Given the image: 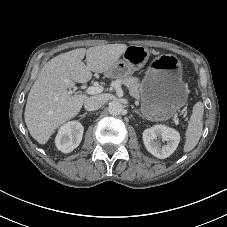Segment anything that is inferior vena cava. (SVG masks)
<instances>
[{"instance_id":"602c4592","label":"inferior vena cava","mask_w":227,"mask_h":227,"mask_svg":"<svg viewBox=\"0 0 227 227\" xmlns=\"http://www.w3.org/2000/svg\"><path fill=\"white\" fill-rule=\"evenodd\" d=\"M105 103V98L101 95L91 96L84 102V108L87 111H95L101 108Z\"/></svg>"}]
</instances>
